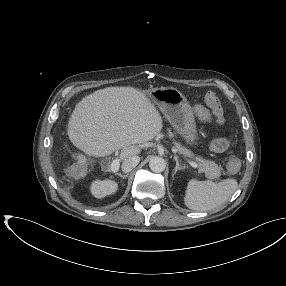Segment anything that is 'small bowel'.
Returning a JSON list of instances; mask_svg holds the SVG:
<instances>
[{"label": "small bowel", "mask_w": 286, "mask_h": 286, "mask_svg": "<svg viewBox=\"0 0 286 286\" xmlns=\"http://www.w3.org/2000/svg\"><path fill=\"white\" fill-rule=\"evenodd\" d=\"M203 110H205L203 106H197L195 108V112L198 115L200 114V111H203ZM213 114L216 118L217 123L221 124L223 122L222 111L218 113H213ZM227 145H228V141L226 138H217L211 142L210 147L212 151L216 153H220V152H223L227 148Z\"/></svg>", "instance_id": "small-bowel-1"}]
</instances>
